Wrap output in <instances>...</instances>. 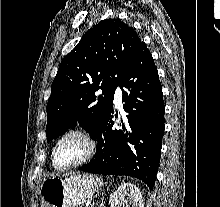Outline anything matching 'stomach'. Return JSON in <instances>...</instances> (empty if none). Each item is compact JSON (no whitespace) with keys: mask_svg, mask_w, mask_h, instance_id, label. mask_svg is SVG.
Here are the masks:
<instances>
[{"mask_svg":"<svg viewBox=\"0 0 220 207\" xmlns=\"http://www.w3.org/2000/svg\"><path fill=\"white\" fill-rule=\"evenodd\" d=\"M101 185V181L90 174L47 178L39 191L41 207H78L96 197Z\"/></svg>","mask_w":220,"mask_h":207,"instance_id":"1","label":"stomach"}]
</instances>
